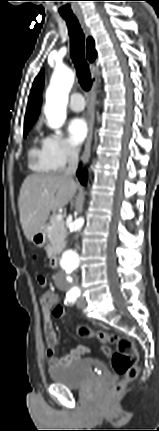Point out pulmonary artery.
Here are the masks:
<instances>
[{"label":"pulmonary artery","mask_w":159,"mask_h":431,"mask_svg":"<svg viewBox=\"0 0 159 431\" xmlns=\"http://www.w3.org/2000/svg\"><path fill=\"white\" fill-rule=\"evenodd\" d=\"M69 107L75 112H80L85 108V101L81 93L75 92L71 94L69 99Z\"/></svg>","instance_id":"obj_1"}]
</instances>
